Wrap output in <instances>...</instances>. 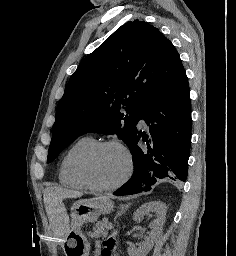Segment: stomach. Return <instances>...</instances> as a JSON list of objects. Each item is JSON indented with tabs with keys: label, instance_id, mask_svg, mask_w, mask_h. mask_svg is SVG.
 Here are the masks:
<instances>
[{
	"label": "stomach",
	"instance_id": "obj_1",
	"mask_svg": "<svg viewBox=\"0 0 236 256\" xmlns=\"http://www.w3.org/2000/svg\"><path fill=\"white\" fill-rule=\"evenodd\" d=\"M113 209V202L106 197L81 199L71 208V229L65 244L66 256H88L90 244L82 233L81 227L86 222H95L102 214Z\"/></svg>",
	"mask_w": 236,
	"mask_h": 256
}]
</instances>
